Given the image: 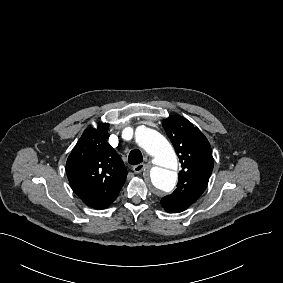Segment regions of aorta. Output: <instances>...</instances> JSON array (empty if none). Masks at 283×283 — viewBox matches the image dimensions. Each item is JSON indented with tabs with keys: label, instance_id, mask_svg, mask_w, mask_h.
<instances>
[{
	"label": "aorta",
	"instance_id": "obj_1",
	"mask_svg": "<svg viewBox=\"0 0 283 283\" xmlns=\"http://www.w3.org/2000/svg\"><path fill=\"white\" fill-rule=\"evenodd\" d=\"M137 144L153 157L154 166L150 170L152 184L159 190L170 192L177 182V156L168 140L156 130L139 128L135 132Z\"/></svg>",
	"mask_w": 283,
	"mask_h": 283
}]
</instances>
